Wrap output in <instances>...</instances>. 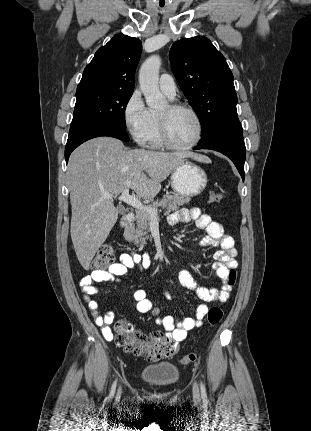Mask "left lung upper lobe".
I'll return each instance as SVG.
<instances>
[{
    "mask_svg": "<svg viewBox=\"0 0 311 431\" xmlns=\"http://www.w3.org/2000/svg\"><path fill=\"white\" fill-rule=\"evenodd\" d=\"M169 56L173 74L201 122L199 143L242 127L233 74L209 39L196 36L178 40Z\"/></svg>",
    "mask_w": 311,
    "mask_h": 431,
    "instance_id": "left-lung-upper-lobe-1",
    "label": "left lung upper lobe"
}]
</instances>
